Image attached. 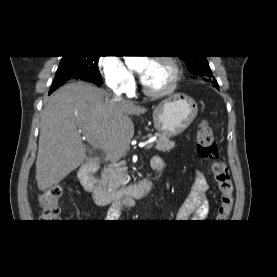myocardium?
Returning <instances> with one entry per match:
<instances>
[{"instance_id":"obj_1","label":"myocardium","mask_w":277,"mask_h":277,"mask_svg":"<svg viewBox=\"0 0 277 277\" xmlns=\"http://www.w3.org/2000/svg\"><path fill=\"white\" fill-rule=\"evenodd\" d=\"M155 61L162 62L169 67L171 71L170 81L166 87L158 90L150 89L145 85L143 86V92L151 97H163L172 93L176 89L180 79V68L177 62L169 56H158L155 58Z\"/></svg>"}]
</instances>
